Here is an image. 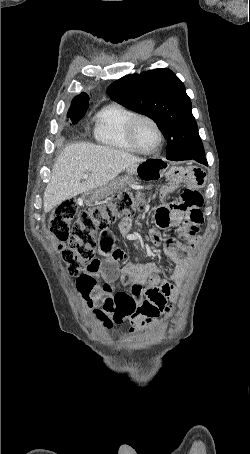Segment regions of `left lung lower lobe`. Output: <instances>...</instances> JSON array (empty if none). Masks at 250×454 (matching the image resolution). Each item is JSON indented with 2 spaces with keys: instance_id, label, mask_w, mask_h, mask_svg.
Masks as SVG:
<instances>
[{
  "instance_id": "0a47b994",
  "label": "left lung lower lobe",
  "mask_w": 250,
  "mask_h": 454,
  "mask_svg": "<svg viewBox=\"0 0 250 454\" xmlns=\"http://www.w3.org/2000/svg\"><path fill=\"white\" fill-rule=\"evenodd\" d=\"M189 159H193L199 163H202L204 165H208L207 164V160L205 158V154H202V155H184V156H176V157H171L169 158V160H174V161H179V160H189Z\"/></svg>"
}]
</instances>
